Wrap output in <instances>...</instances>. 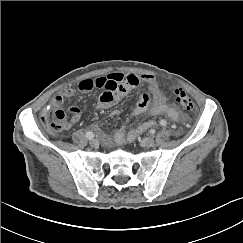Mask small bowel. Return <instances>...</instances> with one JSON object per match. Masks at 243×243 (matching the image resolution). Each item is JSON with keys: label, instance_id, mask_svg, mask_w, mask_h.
Segmentation results:
<instances>
[{"label": "small bowel", "instance_id": "c3829d8e", "mask_svg": "<svg viewBox=\"0 0 243 243\" xmlns=\"http://www.w3.org/2000/svg\"><path fill=\"white\" fill-rule=\"evenodd\" d=\"M140 84H146L148 86L149 94H141L137 106L132 113L133 117L148 112L152 115L165 114L173 121H177L180 118V113L174 107L166 103L160 86L153 75L122 73H111L107 76L95 79H82L76 88H67L61 94L56 95L50 105L43 109V114H49L52 110L59 109L63 105L66 97H74L77 93H88L95 88L102 90L95 105V110L106 109L120 102L130 90ZM69 111L71 113V118L67 122V129L70 128L71 125L78 123L82 117V109L79 106L71 105ZM113 114L118 115L119 111L115 110ZM153 124L154 123L151 121L144 122L129 131H127L126 126H123L115 133L114 139L118 143L132 141L149 127L153 126ZM92 127L99 134L103 135L96 121L92 123Z\"/></svg>", "mask_w": 243, "mask_h": 243}]
</instances>
